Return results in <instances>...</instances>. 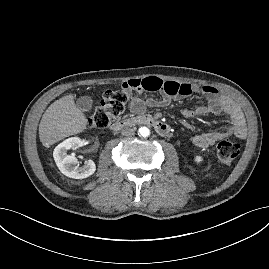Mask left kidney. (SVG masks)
Listing matches in <instances>:
<instances>
[{
  "instance_id": "5707ae66",
  "label": "left kidney",
  "mask_w": 269,
  "mask_h": 269,
  "mask_svg": "<svg viewBox=\"0 0 269 269\" xmlns=\"http://www.w3.org/2000/svg\"><path fill=\"white\" fill-rule=\"evenodd\" d=\"M202 160H203V158H202L201 156H199V155H196V156L194 157V161H195L196 163H201Z\"/></svg>"
}]
</instances>
